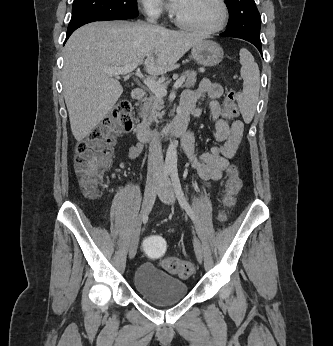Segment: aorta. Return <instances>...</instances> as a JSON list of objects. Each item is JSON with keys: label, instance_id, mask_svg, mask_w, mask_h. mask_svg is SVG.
Instances as JSON below:
<instances>
[{"label": "aorta", "instance_id": "1", "mask_svg": "<svg viewBox=\"0 0 333 346\" xmlns=\"http://www.w3.org/2000/svg\"><path fill=\"white\" fill-rule=\"evenodd\" d=\"M165 167L166 168H176L177 167V149H176V141H171L165 159Z\"/></svg>", "mask_w": 333, "mask_h": 346}]
</instances>
